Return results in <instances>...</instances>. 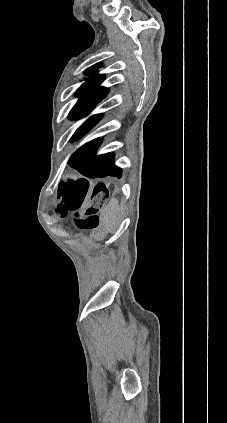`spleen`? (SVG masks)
<instances>
[{
	"label": "spleen",
	"mask_w": 227,
	"mask_h": 423,
	"mask_svg": "<svg viewBox=\"0 0 227 423\" xmlns=\"http://www.w3.org/2000/svg\"><path fill=\"white\" fill-rule=\"evenodd\" d=\"M101 215L103 225H105L107 229H112L119 217L118 200H116V198H112L109 202V206H106Z\"/></svg>",
	"instance_id": "3e777b00"
}]
</instances>
